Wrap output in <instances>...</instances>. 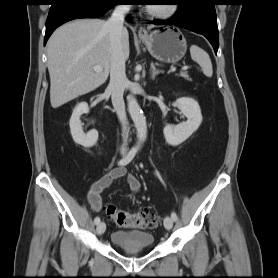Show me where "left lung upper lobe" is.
<instances>
[{"label":"left lung upper lobe","mask_w":278,"mask_h":278,"mask_svg":"<svg viewBox=\"0 0 278 278\" xmlns=\"http://www.w3.org/2000/svg\"><path fill=\"white\" fill-rule=\"evenodd\" d=\"M185 1H187V0H176V2H177V5H182Z\"/></svg>","instance_id":"obj_1"}]
</instances>
